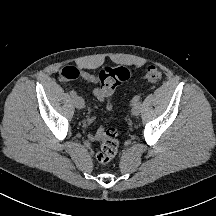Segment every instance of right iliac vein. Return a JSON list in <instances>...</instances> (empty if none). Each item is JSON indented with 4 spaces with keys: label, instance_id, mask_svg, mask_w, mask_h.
<instances>
[{
    "label": "right iliac vein",
    "instance_id": "63e3f726",
    "mask_svg": "<svg viewBox=\"0 0 216 216\" xmlns=\"http://www.w3.org/2000/svg\"><path fill=\"white\" fill-rule=\"evenodd\" d=\"M74 104H75L76 108H78V109H83L85 106L84 100L79 96H76L74 98Z\"/></svg>",
    "mask_w": 216,
    "mask_h": 216
}]
</instances>
